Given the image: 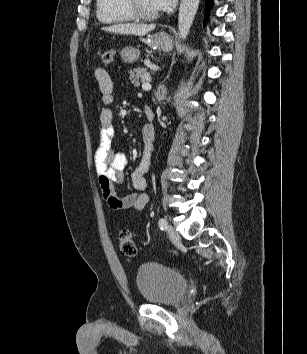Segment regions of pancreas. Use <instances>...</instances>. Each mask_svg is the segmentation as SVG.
Masks as SVG:
<instances>
[{
    "label": "pancreas",
    "instance_id": "pancreas-1",
    "mask_svg": "<svg viewBox=\"0 0 307 354\" xmlns=\"http://www.w3.org/2000/svg\"><path fill=\"white\" fill-rule=\"evenodd\" d=\"M129 79L135 87H139L141 83L148 82L151 76L146 68L138 67L129 71Z\"/></svg>",
    "mask_w": 307,
    "mask_h": 354
}]
</instances>
